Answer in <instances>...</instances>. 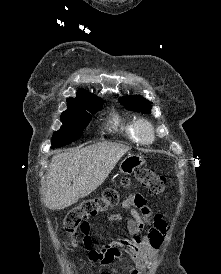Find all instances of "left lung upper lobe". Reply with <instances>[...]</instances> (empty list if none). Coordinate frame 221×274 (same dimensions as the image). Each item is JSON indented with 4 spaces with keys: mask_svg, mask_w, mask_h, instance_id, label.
Returning a JSON list of instances; mask_svg holds the SVG:
<instances>
[{
    "mask_svg": "<svg viewBox=\"0 0 221 274\" xmlns=\"http://www.w3.org/2000/svg\"><path fill=\"white\" fill-rule=\"evenodd\" d=\"M121 104L127 109L141 112L150 113L151 103L141 96H125L119 98Z\"/></svg>",
    "mask_w": 221,
    "mask_h": 274,
    "instance_id": "left-lung-upper-lobe-1",
    "label": "left lung upper lobe"
}]
</instances>
